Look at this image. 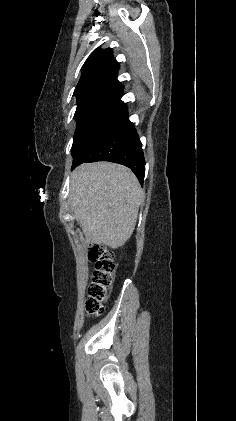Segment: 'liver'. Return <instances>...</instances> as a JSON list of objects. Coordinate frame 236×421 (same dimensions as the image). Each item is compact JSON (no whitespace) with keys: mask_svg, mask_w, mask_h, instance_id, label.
Listing matches in <instances>:
<instances>
[{"mask_svg":"<svg viewBox=\"0 0 236 421\" xmlns=\"http://www.w3.org/2000/svg\"><path fill=\"white\" fill-rule=\"evenodd\" d=\"M142 188L130 168L83 162L71 172L69 202L87 243L122 247L136 225Z\"/></svg>","mask_w":236,"mask_h":421,"instance_id":"1","label":"liver"}]
</instances>
